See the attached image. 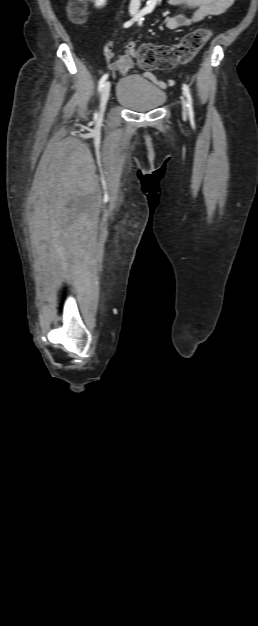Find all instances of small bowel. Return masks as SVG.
Wrapping results in <instances>:
<instances>
[{
  "label": "small bowel",
  "instance_id": "small-bowel-1",
  "mask_svg": "<svg viewBox=\"0 0 258 626\" xmlns=\"http://www.w3.org/2000/svg\"><path fill=\"white\" fill-rule=\"evenodd\" d=\"M234 0H167L168 6H180L182 8L194 9L191 16L183 13L176 14L166 20V27L171 30H180L198 23L206 18L225 13L233 5ZM105 57L112 70L125 74L131 65L129 52L117 55L113 50V43H109L105 49ZM144 77L151 80L159 88L165 89L173 86L175 81L168 79L163 81L150 72H145Z\"/></svg>",
  "mask_w": 258,
  "mask_h": 626
}]
</instances>
